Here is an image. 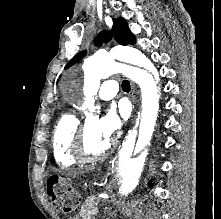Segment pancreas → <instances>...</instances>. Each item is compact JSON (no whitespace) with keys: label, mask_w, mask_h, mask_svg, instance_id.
<instances>
[{"label":"pancreas","mask_w":221,"mask_h":219,"mask_svg":"<svg viewBox=\"0 0 221 219\" xmlns=\"http://www.w3.org/2000/svg\"><path fill=\"white\" fill-rule=\"evenodd\" d=\"M99 200H94L93 198L87 199L81 206L80 217L82 219H92L97 211Z\"/></svg>","instance_id":"1"}]
</instances>
